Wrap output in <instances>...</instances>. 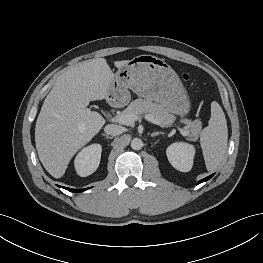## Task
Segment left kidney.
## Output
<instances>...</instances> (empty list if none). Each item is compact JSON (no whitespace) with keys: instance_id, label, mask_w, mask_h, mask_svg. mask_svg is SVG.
<instances>
[{"instance_id":"5707ae66","label":"left kidney","mask_w":263,"mask_h":263,"mask_svg":"<svg viewBox=\"0 0 263 263\" xmlns=\"http://www.w3.org/2000/svg\"><path fill=\"white\" fill-rule=\"evenodd\" d=\"M170 164L181 172H188L193 166L195 147L186 142L171 144L166 150Z\"/></svg>"}]
</instances>
